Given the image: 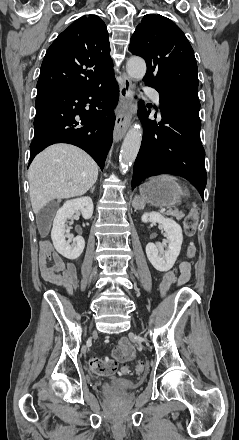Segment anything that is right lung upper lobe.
Instances as JSON below:
<instances>
[{
	"mask_svg": "<svg viewBox=\"0 0 239 440\" xmlns=\"http://www.w3.org/2000/svg\"><path fill=\"white\" fill-rule=\"evenodd\" d=\"M113 75L105 23L97 15L74 21L48 48L37 91L84 87Z\"/></svg>",
	"mask_w": 239,
	"mask_h": 440,
	"instance_id": "right-lung-upper-lobe-1",
	"label": "right lung upper lobe"
}]
</instances>
